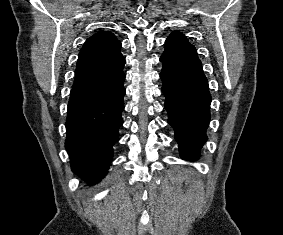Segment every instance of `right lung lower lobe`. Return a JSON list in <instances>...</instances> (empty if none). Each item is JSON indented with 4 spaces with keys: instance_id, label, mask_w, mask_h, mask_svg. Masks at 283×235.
<instances>
[{
    "instance_id": "1",
    "label": "right lung lower lobe",
    "mask_w": 283,
    "mask_h": 235,
    "mask_svg": "<svg viewBox=\"0 0 283 235\" xmlns=\"http://www.w3.org/2000/svg\"><path fill=\"white\" fill-rule=\"evenodd\" d=\"M124 73L73 86L68 103L65 146L72 171L89 185L107 173L123 124Z\"/></svg>"
}]
</instances>
